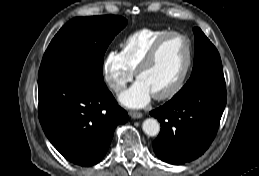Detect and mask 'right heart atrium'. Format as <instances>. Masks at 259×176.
Returning a JSON list of instances; mask_svg holds the SVG:
<instances>
[{
    "label": "right heart atrium",
    "instance_id": "right-heart-atrium-1",
    "mask_svg": "<svg viewBox=\"0 0 259 176\" xmlns=\"http://www.w3.org/2000/svg\"><path fill=\"white\" fill-rule=\"evenodd\" d=\"M102 75L110 89L120 93L133 79L134 72L126 65L121 52L109 51L102 62Z\"/></svg>",
    "mask_w": 259,
    "mask_h": 176
}]
</instances>
